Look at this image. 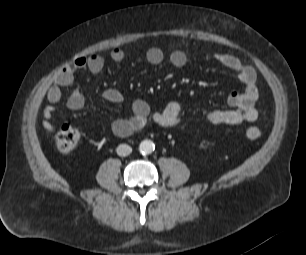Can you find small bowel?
<instances>
[{"label":"small bowel","mask_w":306,"mask_h":255,"mask_svg":"<svg viewBox=\"0 0 306 255\" xmlns=\"http://www.w3.org/2000/svg\"><path fill=\"white\" fill-rule=\"evenodd\" d=\"M110 58L114 62H121L125 58L124 51L115 47L110 51ZM213 59L232 73L243 85L242 91H233L228 96V103L233 109L213 110L206 113L205 118L212 125H237L243 122L255 121L259 112L256 102L259 91L256 85V72L244 65L236 56L228 53H216ZM146 60L152 65H159L165 60V54L158 47H151L146 52ZM168 61L175 68H182L187 64L188 58L183 50L175 49L168 55ZM105 66L102 55L92 54L74 59L63 67L54 77L53 84L47 91L49 104L43 110V128L47 131L54 129L52 116L55 105L63 96V90L71 89L67 99V106L72 110H80L85 104V98L78 87L74 86L75 75L78 71L88 70L90 73L99 74ZM103 98L111 103H122L125 99L122 92L117 89H106ZM131 116L118 119L112 124V130L117 136H127L142 129L149 122L156 123L168 129L180 126L182 107L178 102L169 103L162 111H152L144 100H135L130 106Z\"/></svg>","instance_id":"1"}]
</instances>
